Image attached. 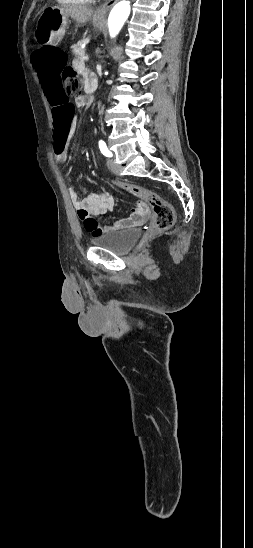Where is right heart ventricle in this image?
<instances>
[{"label": "right heart ventricle", "mask_w": 253, "mask_h": 548, "mask_svg": "<svg viewBox=\"0 0 253 548\" xmlns=\"http://www.w3.org/2000/svg\"><path fill=\"white\" fill-rule=\"evenodd\" d=\"M92 0H57V2L61 4H67V5H78V4H87L90 3Z\"/></svg>", "instance_id": "right-heart-ventricle-1"}]
</instances>
